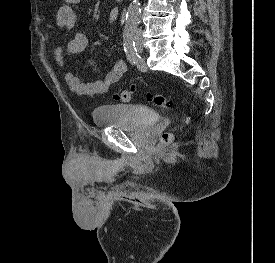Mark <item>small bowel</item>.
<instances>
[{"label":"small bowel","instance_id":"obj_1","mask_svg":"<svg viewBox=\"0 0 275 263\" xmlns=\"http://www.w3.org/2000/svg\"><path fill=\"white\" fill-rule=\"evenodd\" d=\"M81 0H65V4L59 7L56 13V26L62 32L61 42H64L68 33L76 24V14L72 6L80 3ZM119 11L111 9L107 14V21L114 23L118 20ZM88 39L85 34L77 32L70 38L66 45L60 44L54 51V59L59 67L65 66L64 53L78 54L85 50ZM127 71V65L124 60H118L114 63L111 71L103 79L93 82H82L72 71L65 73V82L68 88L78 94L88 97L105 96L108 94L112 84L120 81Z\"/></svg>","mask_w":275,"mask_h":263}]
</instances>
